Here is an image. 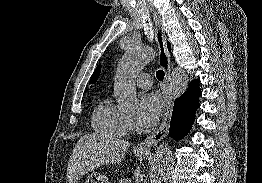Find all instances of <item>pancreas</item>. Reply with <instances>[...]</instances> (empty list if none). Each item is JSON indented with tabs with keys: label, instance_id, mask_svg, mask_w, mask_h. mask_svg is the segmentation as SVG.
Instances as JSON below:
<instances>
[{
	"label": "pancreas",
	"instance_id": "pancreas-1",
	"mask_svg": "<svg viewBox=\"0 0 262 183\" xmlns=\"http://www.w3.org/2000/svg\"><path fill=\"white\" fill-rule=\"evenodd\" d=\"M119 183H130V179H125V178H123V179H121L120 181H119Z\"/></svg>",
	"mask_w": 262,
	"mask_h": 183
}]
</instances>
